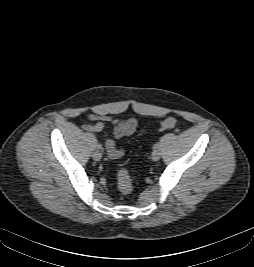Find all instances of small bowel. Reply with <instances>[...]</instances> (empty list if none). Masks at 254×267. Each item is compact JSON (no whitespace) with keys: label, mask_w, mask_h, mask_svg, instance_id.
<instances>
[{"label":"small bowel","mask_w":254,"mask_h":267,"mask_svg":"<svg viewBox=\"0 0 254 267\" xmlns=\"http://www.w3.org/2000/svg\"><path fill=\"white\" fill-rule=\"evenodd\" d=\"M88 120L94 122V124L84 125V129L90 132L103 131L107 123H110L114 126L111 136L107 133L104 134L107 153L109 157L113 159L122 157L124 155V149L117 148L115 145V140L121 139L134 133L137 128V120L135 118H130L120 121L111 116H99L94 114L88 115Z\"/></svg>","instance_id":"small-bowel-1"}]
</instances>
